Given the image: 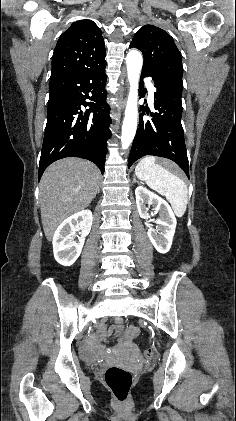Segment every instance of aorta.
<instances>
[{
	"label": "aorta",
	"mask_w": 236,
	"mask_h": 421,
	"mask_svg": "<svg viewBox=\"0 0 236 421\" xmlns=\"http://www.w3.org/2000/svg\"><path fill=\"white\" fill-rule=\"evenodd\" d=\"M127 76L130 84L122 124L121 146L128 148L136 132L138 120V86L143 64L142 54L138 50H130L126 56Z\"/></svg>",
	"instance_id": "obj_1"
}]
</instances>
